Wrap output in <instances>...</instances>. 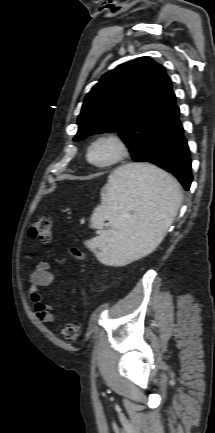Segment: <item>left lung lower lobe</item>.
<instances>
[{"label": "left lung lower lobe", "instance_id": "obj_1", "mask_svg": "<svg viewBox=\"0 0 215 433\" xmlns=\"http://www.w3.org/2000/svg\"><path fill=\"white\" fill-rule=\"evenodd\" d=\"M155 165L174 175L185 190H189L193 176L191 158L184 129L179 120V108L176 106L173 120L160 143Z\"/></svg>", "mask_w": 215, "mask_h": 433}]
</instances>
